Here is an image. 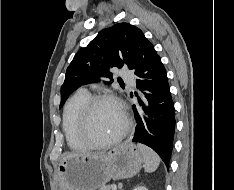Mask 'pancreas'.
Segmentation results:
<instances>
[{"instance_id": "1", "label": "pancreas", "mask_w": 234, "mask_h": 190, "mask_svg": "<svg viewBox=\"0 0 234 190\" xmlns=\"http://www.w3.org/2000/svg\"><path fill=\"white\" fill-rule=\"evenodd\" d=\"M111 186L110 185H105L103 187H101L99 190H110Z\"/></svg>"}]
</instances>
